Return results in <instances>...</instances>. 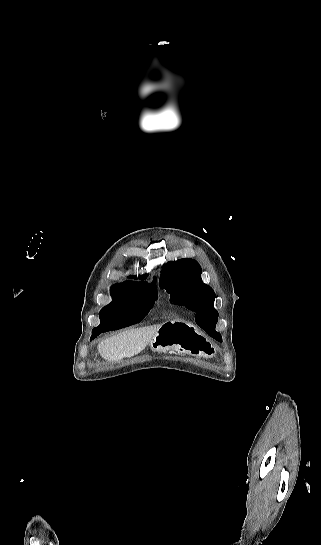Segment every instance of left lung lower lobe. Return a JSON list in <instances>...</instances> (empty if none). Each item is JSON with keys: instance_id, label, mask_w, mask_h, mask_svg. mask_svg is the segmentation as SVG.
Instances as JSON below:
<instances>
[{"instance_id": "0a47b994", "label": "left lung lower lobe", "mask_w": 321, "mask_h": 545, "mask_svg": "<svg viewBox=\"0 0 321 545\" xmlns=\"http://www.w3.org/2000/svg\"><path fill=\"white\" fill-rule=\"evenodd\" d=\"M215 325H216V324L213 325L214 328H215ZM207 333H208L210 336L214 337V336H213L214 333H209V332H207ZM215 333H216V332H215Z\"/></svg>"}]
</instances>
